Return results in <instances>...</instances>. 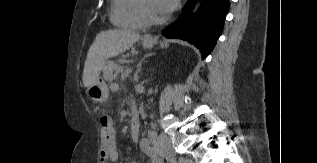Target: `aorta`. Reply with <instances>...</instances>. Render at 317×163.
<instances>
[{"label":"aorta","mask_w":317,"mask_h":163,"mask_svg":"<svg viewBox=\"0 0 317 163\" xmlns=\"http://www.w3.org/2000/svg\"><path fill=\"white\" fill-rule=\"evenodd\" d=\"M200 2H201V0H197V3H196V5H195V7L193 9V13L197 11V9H198V7L200 5Z\"/></svg>","instance_id":"obj_1"}]
</instances>
